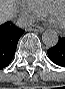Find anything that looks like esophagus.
<instances>
[{"label":"esophagus","instance_id":"34e87169","mask_svg":"<svg viewBox=\"0 0 65 89\" xmlns=\"http://www.w3.org/2000/svg\"><path fill=\"white\" fill-rule=\"evenodd\" d=\"M29 31H37V32H42L44 31L43 27L37 26V25H33L31 27L28 28Z\"/></svg>","mask_w":65,"mask_h":89}]
</instances>
